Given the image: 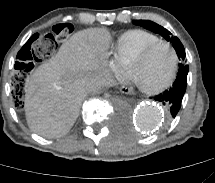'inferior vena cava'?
Returning <instances> with one entry per match:
<instances>
[{
	"label": "inferior vena cava",
	"mask_w": 215,
	"mask_h": 183,
	"mask_svg": "<svg viewBox=\"0 0 215 183\" xmlns=\"http://www.w3.org/2000/svg\"><path fill=\"white\" fill-rule=\"evenodd\" d=\"M111 76L107 73L104 75L97 77L91 81H88L85 84V89L87 92H95L98 91L101 87L107 86L111 83Z\"/></svg>",
	"instance_id": "inferior-vena-cava-1"
}]
</instances>
